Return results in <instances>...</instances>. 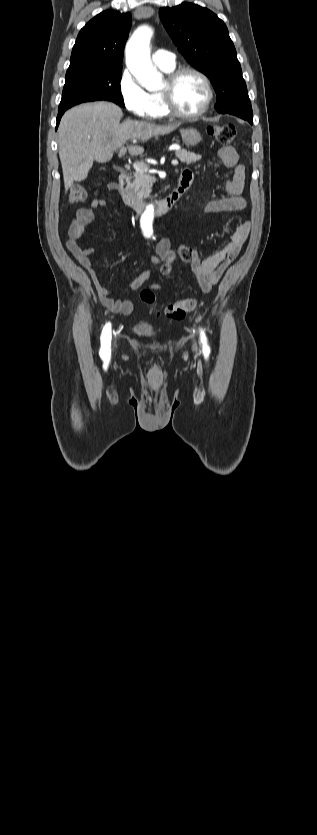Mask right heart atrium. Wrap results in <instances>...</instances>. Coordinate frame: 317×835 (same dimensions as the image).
Segmentation results:
<instances>
[{
    "mask_svg": "<svg viewBox=\"0 0 317 835\" xmlns=\"http://www.w3.org/2000/svg\"><path fill=\"white\" fill-rule=\"evenodd\" d=\"M118 89L125 107L133 115L143 119L154 117V107L150 94L142 88L128 69L121 72Z\"/></svg>",
    "mask_w": 317,
    "mask_h": 835,
    "instance_id": "d8ad5b80",
    "label": "right heart atrium"
}]
</instances>
